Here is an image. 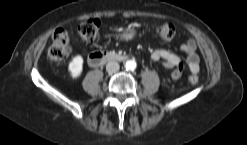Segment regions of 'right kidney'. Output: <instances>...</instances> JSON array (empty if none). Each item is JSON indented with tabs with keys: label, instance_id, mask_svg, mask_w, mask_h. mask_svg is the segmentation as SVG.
<instances>
[{
	"label": "right kidney",
	"instance_id": "1",
	"mask_svg": "<svg viewBox=\"0 0 247 145\" xmlns=\"http://www.w3.org/2000/svg\"><path fill=\"white\" fill-rule=\"evenodd\" d=\"M83 58L81 55L75 56L69 63L68 71L73 79L80 77L83 70Z\"/></svg>",
	"mask_w": 247,
	"mask_h": 145
}]
</instances>
